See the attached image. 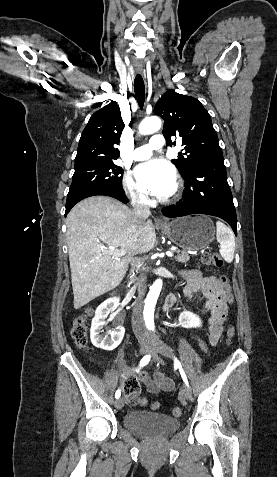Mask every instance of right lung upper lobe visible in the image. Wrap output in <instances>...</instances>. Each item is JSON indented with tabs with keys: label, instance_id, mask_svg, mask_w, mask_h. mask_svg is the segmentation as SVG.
<instances>
[{
	"label": "right lung upper lobe",
	"instance_id": "obj_1",
	"mask_svg": "<svg viewBox=\"0 0 277 477\" xmlns=\"http://www.w3.org/2000/svg\"><path fill=\"white\" fill-rule=\"evenodd\" d=\"M124 126L120 108L116 102L112 101L96 111L82 132L75 167L116 160L120 152L113 145L119 144Z\"/></svg>",
	"mask_w": 277,
	"mask_h": 477
}]
</instances>
